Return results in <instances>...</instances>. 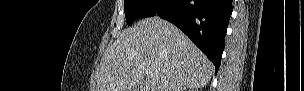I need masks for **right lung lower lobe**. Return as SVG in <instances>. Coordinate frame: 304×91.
Instances as JSON below:
<instances>
[{
  "mask_svg": "<svg viewBox=\"0 0 304 91\" xmlns=\"http://www.w3.org/2000/svg\"><path fill=\"white\" fill-rule=\"evenodd\" d=\"M232 0H170L156 15L180 28L193 43L220 67Z\"/></svg>",
  "mask_w": 304,
  "mask_h": 91,
  "instance_id": "obj_1",
  "label": "right lung lower lobe"
}]
</instances>
